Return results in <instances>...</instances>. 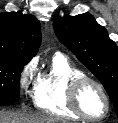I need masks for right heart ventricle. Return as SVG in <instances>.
I'll list each match as a JSON object with an SVG mask.
<instances>
[{
  "label": "right heart ventricle",
  "mask_w": 118,
  "mask_h": 123,
  "mask_svg": "<svg viewBox=\"0 0 118 123\" xmlns=\"http://www.w3.org/2000/svg\"><path fill=\"white\" fill-rule=\"evenodd\" d=\"M84 73L64 56H53L47 70L41 72L34 89V105L37 109L56 117L79 120L69 106V83Z\"/></svg>",
  "instance_id": "right-heart-ventricle-1"
}]
</instances>
